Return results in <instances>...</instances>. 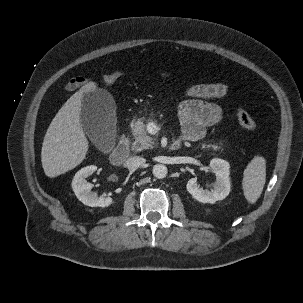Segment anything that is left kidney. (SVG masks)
I'll return each mask as SVG.
<instances>
[{"label":"left kidney","instance_id":"1","mask_svg":"<svg viewBox=\"0 0 303 303\" xmlns=\"http://www.w3.org/2000/svg\"><path fill=\"white\" fill-rule=\"evenodd\" d=\"M210 167L216 176V183L212 190L200 188L197 178H191L187 182L186 188L192 197L199 202L214 204L216 201L225 199L230 193V165L225 160L214 158L210 162Z\"/></svg>","mask_w":303,"mask_h":303}]
</instances>
